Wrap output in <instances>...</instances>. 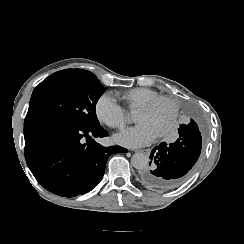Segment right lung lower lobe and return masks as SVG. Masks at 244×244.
<instances>
[{"instance_id": "1", "label": "right lung lower lobe", "mask_w": 244, "mask_h": 244, "mask_svg": "<svg viewBox=\"0 0 244 244\" xmlns=\"http://www.w3.org/2000/svg\"><path fill=\"white\" fill-rule=\"evenodd\" d=\"M108 136L100 125L83 128L44 115L26 116L25 158L37 181L48 191L74 197L91 191L102 179L109 156L127 152L103 147L94 138Z\"/></svg>"}]
</instances>
